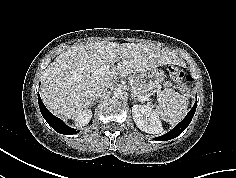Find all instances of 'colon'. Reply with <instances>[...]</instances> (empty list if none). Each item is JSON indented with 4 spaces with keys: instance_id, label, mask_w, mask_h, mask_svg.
<instances>
[{
    "instance_id": "1",
    "label": "colon",
    "mask_w": 236,
    "mask_h": 178,
    "mask_svg": "<svg viewBox=\"0 0 236 178\" xmlns=\"http://www.w3.org/2000/svg\"><path fill=\"white\" fill-rule=\"evenodd\" d=\"M169 76L180 85V91L184 95H189L194 86V81L189 74L183 72L176 66H169Z\"/></svg>"
}]
</instances>
